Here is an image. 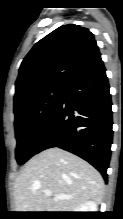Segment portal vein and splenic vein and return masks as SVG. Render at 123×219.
<instances>
[{
  "instance_id": "obj_1",
  "label": "portal vein and splenic vein",
  "mask_w": 123,
  "mask_h": 219,
  "mask_svg": "<svg viewBox=\"0 0 123 219\" xmlns=\"http://www.w3.org/2000/svg\"><path fill=\"white\" fill-rule=\"evenodd\" d=\"M44 193H45L46 196H51L52 195L50 190H46V191H44ZM55 198L57 200H60V199H70L71 196H68V195H56Z\"/></svg>"
}]
</instances>
